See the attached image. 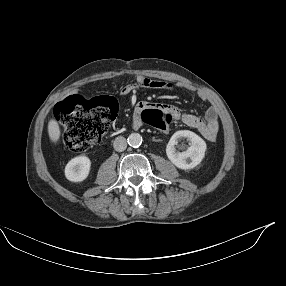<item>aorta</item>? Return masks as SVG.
Segmentation results:
<instances>
[{"label":"aorta","instance_id":"obj_1","mask_svg":"<svg viewBox=\"0 0 286 286\" xmlns=\"http://www.w3.org/2000/svg\"><path fill=\"white\" fill-rule=\"evenodd\" d=\"M142 143V137L139 133H132L128 136V144L131 147H139Z\"/></svg>","mask_w":286,"mask_h":286}]
</instances>
